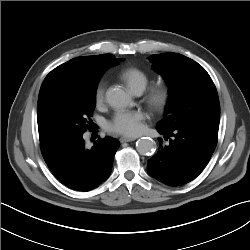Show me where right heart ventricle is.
<instances>
[{
    "label": "right heart ventricle",
    "instance_id": "right-heart-ventricle-1",
    "mask_svg": "<svg viewBox=\"0 0 250 250\" xmlns=\"http://www.w3.org/2000/svg\"><path fill=\"white\" fill-rule=\"evenodd\" d=\"M120 78L133 92H142L150 81L147 72L137 67L125 68L121 71Z\"/></svg>",
    "mask_w": 250,
    "mask_h": 250
}]
</instances>
